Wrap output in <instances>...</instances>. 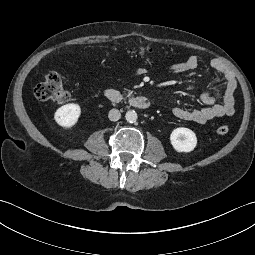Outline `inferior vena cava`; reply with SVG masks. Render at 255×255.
Segmentation results:
<instances>
[{
	"mask_svg": "<svg viewBox=\"0 0 255 255\" xmlns=\"http://www.w3.org/2000/svg\"><path fill=\"white\" fill-rule=\"evenodd\" d=\"M121 117V113L118 109H111L108 113V118L110 121H118Z\"/></svg>",
	"mask_w": 255,
	"mask_h": 255,
	"instance_id": "1",
	"label": "inferior vena cava"
}]
</instances>
